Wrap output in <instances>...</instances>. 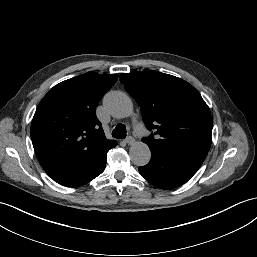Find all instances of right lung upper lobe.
<instances>
[{"mask_svg":"<svg viewBox=\"0 0 257 257\" xmlns=\"http://www.w3.org/2000/svg\"><path fill=\"white\" fill-rule=\"evenodd\" d=\"M117 79L116 74L87 72L57 84L39 103L31 139L53 180L81 175L116 146L106 139L95 110Z\"/></svg>","mask_w":257,"mask_h":257,"instance_id":"1","label":"right lung upper lobe"}]
</instances>
